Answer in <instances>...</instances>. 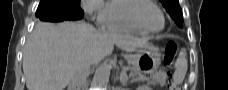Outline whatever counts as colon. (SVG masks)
I'll list each match as a JSON object with an SVG mask.
<instances>
[{
	"label": "colon",
	"mask_w": 228,
	"mask_h": 90,
	"mask_svg": "<svg viewBox=\"0 0 228 90\" xmlns=\"http://www.w3.org/2000/svg\"><path fill=\"white\" fill-rule=\"evenodd\" d=\"M178 52V45L174 41H170L167 43L166 50H165V57H164V64L167 68H170L173 64V61ZM168 88L170 90H179L178 87L170 81L168 84Z\"/></svg>",
	"instance_id": "5ec220e1"
}]
</instances>
